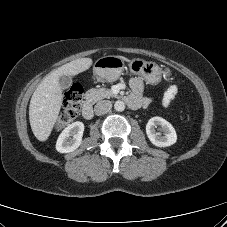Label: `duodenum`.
I'll return each mask as SVG.
<instances>
[{"instance_id": "1", "label": "duodenum", "mask_w": 227, "mask_h": 227, "mask_svg": "<svg viewBox=\"0 0 227 227\" xmlns=\"http://www.w3.org/2000/svg\"><path fill=\"white\" fill-rule=\"evenodd\" d=\"M93 107L90 102H85L82 108V115L85 119L89 120L93 117Z\"/></svg>"}]
</instances>
